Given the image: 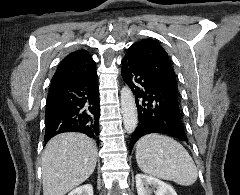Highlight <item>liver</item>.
<instances>
[{"instance_id": "1", "label": "liver", "mask_w": 240, "mask_h": 195, "mask_svg": "<svg viewBox=\"0 0 240 195\" xmlns=\"http://www.w3.org/2000/svg\"><path fill=\"white\" fill-rule=\"evenodd\" d=\"M98 149L85 133H58L48 141L42 155L44 195H65L83 183L96 167Z\"/></svg>"}]
</instances>
